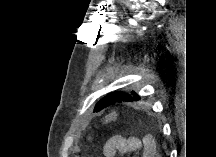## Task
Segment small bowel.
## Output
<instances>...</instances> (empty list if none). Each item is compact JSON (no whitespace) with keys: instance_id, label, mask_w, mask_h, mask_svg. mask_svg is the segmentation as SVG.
<instances>
[{"instance_id":"small-bowel-1","label":"small bowel","mask_w":216,"mask_h":157,"mask_svg":"<svg viewBox=\"0 0 216 157\" xmlns=\"http://www.w3.org/2000/svg\"><path fill=\"white\" fill-rule=\"evenodd\" d=\"M116 153L154 157L156 154V142L151 135H146L142 139L121 135L113 136L104 145L103 154L105 157H114Z\"/></svg>"}]
</instances>
